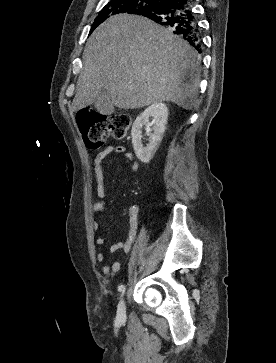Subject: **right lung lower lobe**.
<instances>
[{
  "label": "right lung lower lobe",
  "instance_id": "98d812e1",
  "mask_svg": "<svg viewBox=\"0 0 276 363\" xmlns=\"http://www.w3.org/2000/svg\"><path fill=\"white\" fill-rule=\"evenodd\" d=\"M144 16L166 27L168 30L188 41L201 53L199 27L191 10L190 0H160L151 7L140 11Z\"/></svg>",
  "mask_w": 276,
  "mask_h": 363
}]
</instances>
